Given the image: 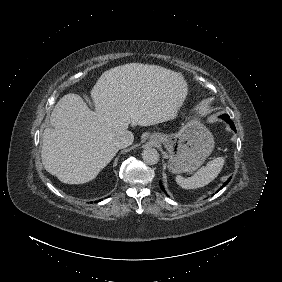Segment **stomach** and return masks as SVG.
<instances>
[{
    "label": "stomach",
    "instance_id": "1",
    "mask_svg": "<svg viewBox=\"0 0 282 282\" xmlns=\"http://www.w3.org/2000/svg\"><path fill=\"white\" fill-rule=\"evenodd\" d=\"M151 139L163 144L169 154L167 168L172 173L197 170L215 147L212 132L205 125V109L188 115L176 133H155Z\"/></svg>",
    "mask_w": 282,
    "mask_h": 282
}]
</instances>
